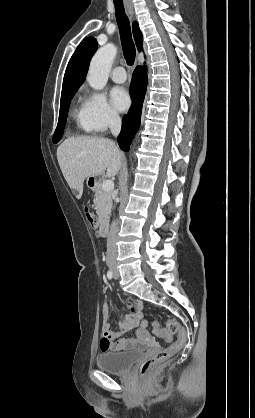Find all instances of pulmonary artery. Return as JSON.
Instances as JSON below:
<instances>
[{"mask_svg": "<svg viewBox=\"0 0 255 418\" xmlns=\"http://www.w3.org/2000/svg\"><path fill=\"white\" fill-rule=\"evenodd\" d=\"M111 78L116 83H123L126 80V72L122 66H117L112 70Z\"/></svg>", "mask_w": 255, "mask_h": 418, "instance_id": "e3ab8cb5", "label": "pulmonary artery"}]
</instances>
